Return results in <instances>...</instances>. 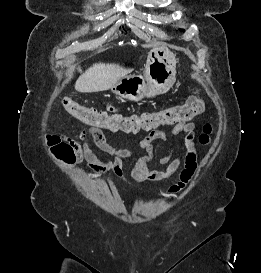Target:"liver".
Masks as SVG:
<instances>
[{
  "label": "liver",
  "mask_w": 261,
  "mask_h": 273,
  "mask_svg": "<svg viewBox=\"0 0 261 273\" xmlns=\"http://www.w3.org/2000/svg\"><path fill=\"white\" fill-rule=\"evenodd\" d=\"M130 71L118 64L95 63L77 79L75 90L80 93L107 91Z\"/></svg>",
  "instance_id": "obj_1"
}]
</instances>
